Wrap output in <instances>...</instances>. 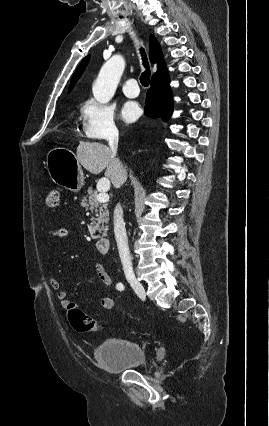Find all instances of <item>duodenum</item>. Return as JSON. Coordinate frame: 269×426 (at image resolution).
Returning a JSON list of instances; mask_svg holds the SVG:
<instances>
[{
	"mask_svg": "<svg viewBox=\"0 0 269 426\" xmlns=\"http://www.w3.org/2000/svg\"><path fill=\"white\" fill-rule=\"evenodd\" d=\"M110 239L108 237H102L97 240L96 246L101 254H107L110 250Z\"/></svg>",
	"mask_w": 269,
	"mask_h": 426,
	"instance_id": "1",
	"label": "duodenum"
}]
</instances>
